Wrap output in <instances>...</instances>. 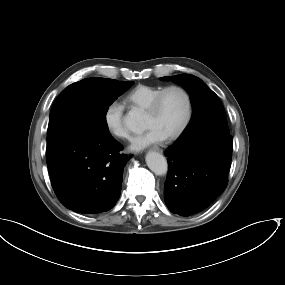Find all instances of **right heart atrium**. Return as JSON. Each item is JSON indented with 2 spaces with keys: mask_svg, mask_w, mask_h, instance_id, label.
Returning <instances> with one entry per match:
<instances>
[{
  "mask_svg": "<svg viewBox=\"0 0 285 285\" xmlns=\"http://www.w3.org/2000/svg\"><path fill=\"white\" fill-rule=\"evenodd\" d=\"M104 124L108 132L114 137L125 140L130 132L124 123L123 107L116 102L107 105L103 114Z\"/></svg>",
  "mask_w": 285,
  "mask_h": 285,
  "instance_id": "right-heart-atrium-1",
  "label": "right heart atrium"
}]
</instances>
